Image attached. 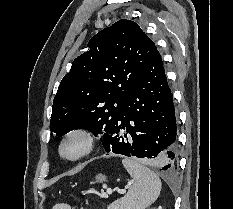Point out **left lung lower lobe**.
<instances>
[{
  "label": "left lung lower lobe",
  "instance_id": "obj_1",
  "mask_svg": "<svg viewBox=\"0 0 233 209\" xmlns=\"http://www.w3.org/2000/svg\"><path fill=\"white\" fill-rule=\"evenodd\" d=\"M176 128L173 98L157 52L132 86L124 111L105 132L102 145L107 153L173 169Z\"/></svg>",
  "mask_w": 233,
  "mask_h": 209
}]
</instances>
